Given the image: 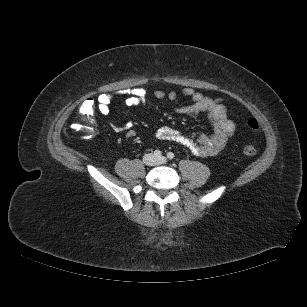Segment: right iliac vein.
Listing matches in <instances>:
<instances>
[{"mask_svg":"<svg viewBox=\"0 0 307 307\" xmlns=\"http://www.w3.org/2000/svg\"><path fill=\"white\" fill-rule=\"evenodd\" d=\"M144 163L148 166H152L155 164L156 160L154 158V156L152 154H147L144 159H143Z\"/></svg>","mask_w":307,"mask_h":307,"instance_id":"right-iliac-vein-1","label":"right iliac vein"}]
</instances>
